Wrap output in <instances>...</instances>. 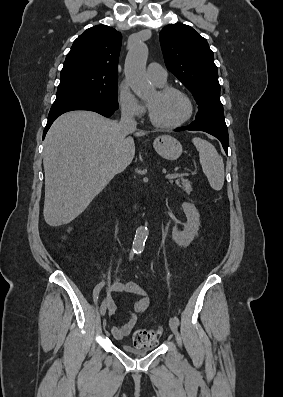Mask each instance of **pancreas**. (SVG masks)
Returning <instances> with one entry per match:
<instances>
[{"instance_id": "obj_1", "label": "pancreas", "mask_w": 283, "mask_h": 397, "mask_svg": "<svg viewBox=\"0 0 283 397\" xmlns=\"http://www.w3.org/2000/svg\"><path fill=\"white\" fill-rule=\"evenodd\" d=\"M170 183L173 184V180H170ZM175 184L179 186L182 190H184L187 194H190L192 192V183L184 178H178L175 181Z\"/></svg>"}]
</instances>
